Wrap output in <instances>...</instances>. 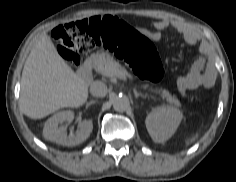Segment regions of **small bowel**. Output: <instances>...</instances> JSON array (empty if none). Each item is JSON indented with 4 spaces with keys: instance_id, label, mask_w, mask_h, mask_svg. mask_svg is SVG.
Returning <instances> with one entry per match:
<instances>
[{
    "instance_id": "obj_1",
    "label": "small bowel",
    "mask_w": 236,
    "mask_h": 182,
    "mask_svg": "<svg viewBox=\"0 0 236 182\" xmlns=\"http://www.w3.org/2000/svg\"><path fill=\"white\" fill-rule=\"evenodd\" d=\"M169 28L180 34L189 45H196L200 40L194 29L168 19L155 22L153 30L142 29L141 32L152 41H159L163 32ZM200 52V56L188 72L177 81L179 92L186 98L194 96L202 87H211L214 82L213 68L207 59V47L201 45Z\"/></svg>"
}]
</instances>
